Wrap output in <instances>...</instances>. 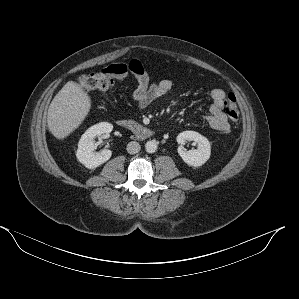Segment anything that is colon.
<instances>
[{
  "label": "colon",
  "instance_id": "colon-1",
  "mask_svg": "<svg viewBox=\"0 0 299 299\" xmlns=\"http://www.w3.org/2000/svg\"><path fill=\"white\" fill-rule=\"evenodd\" d=\"M126 75L125 65L118 64L97 72L83 74L79 77L78 82L86 92L105 91ZM226 114L232 121H237L239 118L240 111L233 93H229L226 97Z\"/></svg>",
  "mask_w": 299,
  "mask_h": 299
}]
</instances>
